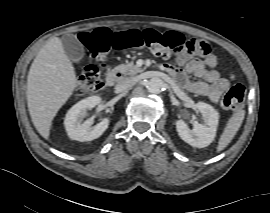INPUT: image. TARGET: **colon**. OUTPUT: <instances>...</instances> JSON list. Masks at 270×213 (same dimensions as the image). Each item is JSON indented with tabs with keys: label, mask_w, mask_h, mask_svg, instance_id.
<instances>
[{
	"label": "colon",
	"mask_w": 270,
	"mask_h": 213,
	"mask_svg": "<svg viewBox=\"0 0 270 213\" xmlns=\"http://www.w3.org/2000/svg\"><path fill=\"white\" fill-rule=\"evenodd\" d=\"M80 41L87 51L90 64L80 69L77 77L78 94L96 92L104 87L103 75L106 72L107 53L110 50L126 48H147L154 55L167 58L174 53L187 55L205 54L206 42L196 38H185L174 31H156L153 29L129 30L111 33L106 28H97L85 32ZM232 78L233 75H230ZM245 89L235 84L227 90L221 100L224 109L236 110L243 105Z\"/></svg>",
	"instance_id": "colon-1"
}]
</instances>
